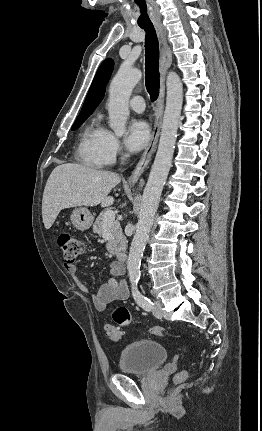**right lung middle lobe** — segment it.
Masks as SVG:
<instances>
[{
	"mask_svg": "<svg viewBox=\"0 0 262 431\" xmlns=\"http://www.w3.org/2000/svg\"><path fill=\"white\" fill-rule=\"evenodd\" d=\"M88 118V116L77 117L75 123L72 126V130H76L80 125Z\"/></svg>",
	"mask_w": 262,
	"mask_h": 431,
	"instance_id": "obj_1",
	"label": "right lung middle lobe"
}]
</instances>
